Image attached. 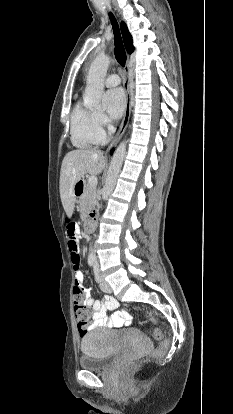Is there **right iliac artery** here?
<instances>
[{
  "instance_id": "obj_1",
  "label": "right iliac artery",
  "mask_w": 233,
  "mask_h": 414,
  "mask_svg": "<svg viewBox=\"0 0 233 414\" xmlns=\"http://www.w3.org/2000/svg\"><path fill=\"white\" fill-rule=\"evenodd\" d=\"M89 264H90V265H93V262H90Z\"/></svg>"
}]
</instances>
